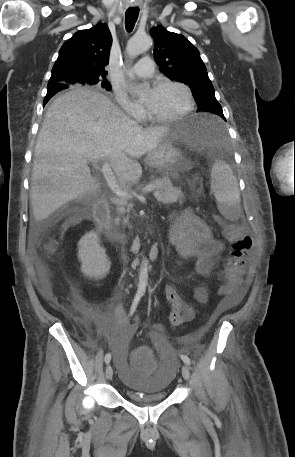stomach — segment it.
I'll use <instances>...</instances> for the list:
<instances>
[{"label":"stomach","mask_w":295,"mask_h":457,"mask_svg":"<svg viewBox=\"0 0 295 457\" xmlns=\"http://www.w3.org/2000/svg\"><path fill=\"white\" fill-rule=\"evenodd\" d=\"M209 137L210 131L203 117L192 115L165 133L159 145L148 153L146 163L151 168L175 176L183 169L179 146L200 147L207 143Z\"/></svg>","instance_id":"1"}]
</instances>
